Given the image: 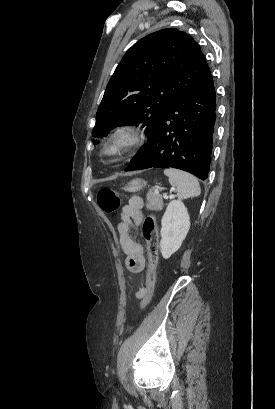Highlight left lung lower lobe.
I'll use <instances>...</instances> for the list:
<instances>
[{"label":"left lung lower lobe","mask_w":275,"mask_h":409,"mask_svg":"<svg viewBox=\"0 0 275 409\" xmlns=\"http://www.w3.org/2000/svg\"><path fill=\"white\" fill-rule=\"evenodd\" d=\"M215 121L216 94L210 72L168 109L125 171L173 167L207 179Z\"/></svg>","instance_id":"left-lung-lower-lobe-1"}]
</instances>
